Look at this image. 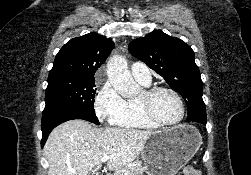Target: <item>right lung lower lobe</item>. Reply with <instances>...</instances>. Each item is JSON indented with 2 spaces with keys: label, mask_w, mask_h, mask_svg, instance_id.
<instances>
[{
  "label": "right lung lower lobe",
  "mask_w": 251,
  "mask_h": 175,
  "mask_svg": "<svg viewBox=\"0 0 251 175\" xmlns=\"http://www.w3.org/2000/svg\"><path fill=\"white\" fill-rule=\"evenodd\" d=\"M73 119H83L97 125L100 124L94 112L71 107H45L41 122V146H44L48 135L57 125Z\"/></svg>",
  "instance_id": "right-lung-lower-lobe-1"
}]
</instances>
